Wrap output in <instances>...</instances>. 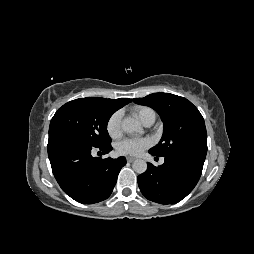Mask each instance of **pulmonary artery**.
<instances>
[{
  "label": "pulmonary artery",
  "instance_id": "1",
  "mask_svg": "<svg viewBox=\"0 0 254 254\" xmlns=\"http://www.w3.org/2000/svg\"><path fill=\"white\" fill-rule=\"evenodd\" d=\"M152 124H153V121H148V122L144 123V125L146 127H150ZM162 162H163V160H162Z\"/></svg>",
  "mask_w": 254,
  "mask_h": 254
}]
</instances>
